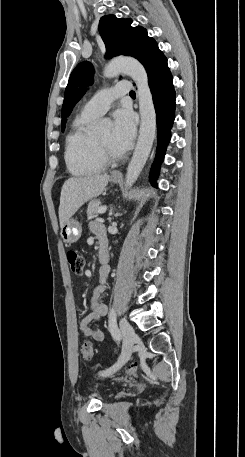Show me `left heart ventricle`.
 <instances>
[{"label": "left heart ventricle", "instance_id": "obj_1", "mask_svg": "<svg viewBox=\"0 0 245 457\" xmlns=\"http://www.w3.org/2000/svg\"><path fill=\"white\" fill-rule=\"evenodd\" d=\"M97 141L99 145L102 147V149L107 152V153H113V154H120L122 153V150L117 148L116 146L113 145L112 143V133L111 130H107L98 134H95Z\"/></svg>", "mask_w": 245, "mask_h": 457}]
</instances>
